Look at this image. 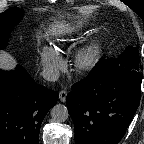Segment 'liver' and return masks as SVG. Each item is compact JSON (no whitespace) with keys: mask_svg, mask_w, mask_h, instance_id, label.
Instances as JSON below:
<instances>
[{"mask_svg":"<svg viewBox=\"0 0 144 144\" xmlns=\"http://www.w3.org/2000/svg\"><path fill=\"white\" fill-rule=\"evenodd\" d=\"M51 31L54 34H64L70 32L69 24L65 22H59L51 26ZM16 64V60L12 55L6 52H0V68L5 70L13 69Z\"/></svg>","mask_w":144,"mask_h":144,"instance_id":"1","label":"liver"}]
</instances>
